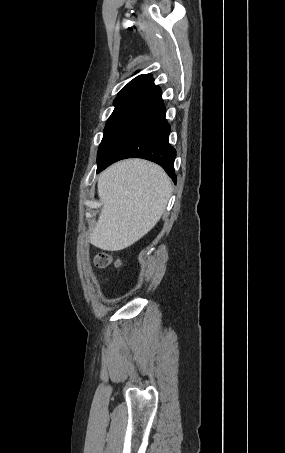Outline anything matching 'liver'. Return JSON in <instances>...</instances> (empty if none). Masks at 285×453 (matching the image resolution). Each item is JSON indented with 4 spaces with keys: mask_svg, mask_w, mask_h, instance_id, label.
Segmentation results:
<instances>
[{
    "mask_svg": "<svg viewBox=\"0 0 285 453\" xmlns=\"http://www.w3.org/2000/svg\"><path fill=\"white\" fill-rule=\"evenodd\" d=\"M170 194L169 177L157 164L128 159L111 165L98 177L103 207L90 243L106 251L131 246L157 224Z\"/></svg>",
    "mask_w": 285,
    "mask_h": 453,
    "instance_id": "1",
    "label": "liver"
}]
</instances>
